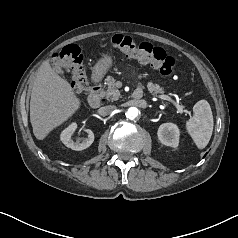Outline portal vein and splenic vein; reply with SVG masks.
Wrapping results in <instances>:
<instances>
[{"label": "portal vein and splenic vein", "mask_w": 238, "mask_h": 238, "mask_svg": "<svg viewBox=\"0 0 238 238\" xmlns=\"http://www.w3.org/2000/svg\"><path fill=\"white\" fill-rule=\"evenodd\" d=\"M157 97L161 100H167L169 102H172L177 108V113L182 114V113L186 112V113L190 114V112L183 110V108L181 106L176 105V103L170 97H168L166 95H158Z\"/></svg>", "instance_id": "obj_1"}]
</instances>
